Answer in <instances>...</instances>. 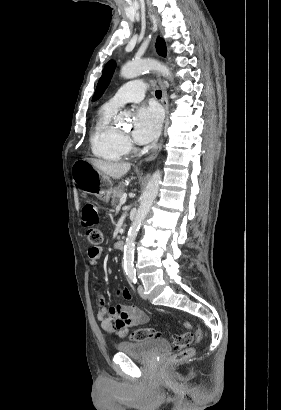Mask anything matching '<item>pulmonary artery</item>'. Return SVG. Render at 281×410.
Instances as JSON below:
<instances>
[{
	"mask_svg": "<svg viewBox=\"0 0 281 410\" xmlns=\"http://www.w3.org/2000/svg\"><path fill=\"white\" fill-rule=\"evenodd\" d=\"M147 88V84L142 80L129 81L121 86L104 106L108 109L118 110L126 103L139 102L143 99Z\"/></svg>",
	"mask_w": 281,
	"mask_h": 410,
	"instance_id": "e3ab8cb5",
	"label": "pulmonary artery"
}]
</instances>
